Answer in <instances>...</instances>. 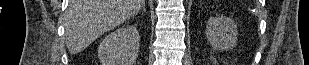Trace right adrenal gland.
Here are the masks:
<instances>
[{
  "label": "right adrenal gland",
  "instance_id": "obj_1",
  "mask_svg": "<svg viewBox=\"0 0 309 65\" xmlns=\"http://www.w3.org/2000/svg\"><path fill=\"white\" fill-rule=\"evenodd\" d=\"M143 10L146 11L145 7H143Z\"/></svg>",
  "mask_w": 309,
  "mask_h": 65
}]
</instances>
